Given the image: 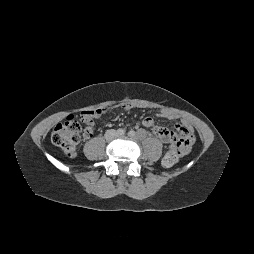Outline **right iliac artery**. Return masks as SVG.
Returning <instances> with one entry per match:
<instances>
[{
    "mask_svg": "<svg viewBox=\"0 0 254 254\" xmlns=\"http://www.w3.org/2000/svg\"><path fill=\"white\" fill-rule=\"evenodd\" d=\"M125 133V130L124 129H118L117 130V134H119V135H123Z\"/></svg>",
    "mask_w": 254,
    "mask_h": 254,
    "instance_id": "obj_1",
    "label": "right iliac artery"
}]
</instances>
